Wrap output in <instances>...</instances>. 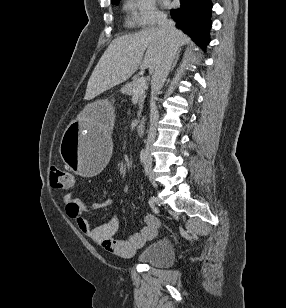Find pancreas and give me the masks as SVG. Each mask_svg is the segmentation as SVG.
<instances>
[{
	"mask_svg": "<svg viewBox=\"0 0 286 308\" xmlns=\"http://www.w3.org/2000/svg\"><path fill=\"white\" fill-rule=\"evenodd\" d=\"M139 80V77H135L133 78V80L130 83H127L124 87L121 88V93L125 94L127 96H133L134 95V86L137 83V81ZM145 90H147V86L146 88L139 94V105H140V109H142L143 107V103L144 100L146 98L145 95ZM140 114V113H139Z\"/></svg>",
	"mask_w": 286,
	"mask_h": 308,
	"instance_id": "pancreas-1",
	"label": "pancreas"
}]
</instances>
